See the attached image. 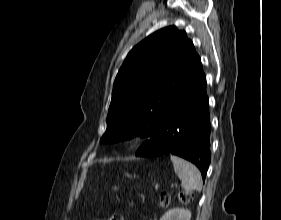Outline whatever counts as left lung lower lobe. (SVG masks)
Segmentation results:
<instances>
[{"mask_svg":"<svg viewBox=\"0 0 281 220\" xmlns=\"http://www.w3.org/2000/svg\"><path fill=\"white\" fill-rule=\"evenodd\" d=\"M210 131L206 76L201 64L179 90L153 138L139 147L136 156L177 155L194 163L204 180L211 161Z\"/></svg>","mask_w":281,"mask_h":220,"instance_id":"left-lung-lower-lobe-1","label":"left lung lower lobe"}]
</instances>
